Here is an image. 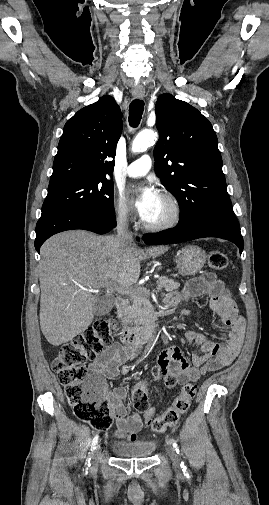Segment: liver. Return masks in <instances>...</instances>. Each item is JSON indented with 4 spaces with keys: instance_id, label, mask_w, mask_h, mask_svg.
Instances as JSON below:
<instances>
[{
    "instance_id": "1",
    "label": "liver",
    "mask_w": 269,
    "mask_h": 505,
    "mask_svg": "<svg viewBox=\"0 0 269 505\" xmlns=\"http://www.w3.org/2000/svg\"><path fill=\"white\" fill-rule=\"evenodd\" d=\"M167 247L146 252L117 236L73 230L49 238L39 264L40 327L47 341L59 346L91 324L100 299L90 290L114 284L131 286L140 276V262L164 254Z\"/></svg>"
}]
</instances>
